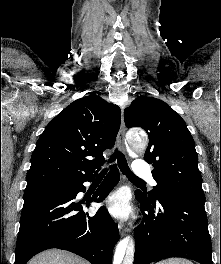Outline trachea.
Returning <instances> with one entry per match:
<instances>
[{
	"instance_id": "obj_1",
	"label": "trachea",
	"mask_w": 221,
	"mask_h": 264,
	"mask_svg": "<svg viewBox=\"0 0 221 264\" xmlns=\"http://www.w3.org/2000/svg\"><path fill=\"white\" fill-rule=\"evenodd\" d=\"M117 159L118 162V166L120 168V170L122 171V173L124 175H126V177L129 180L135 181V182H139V183H145L142 179L138 178L137 176H135L133 174V172L130 170L128 164H127V160L124 156V154L120 151H118L117 149L115 150V152L111 155L110 157V161H114ZM107 173V169H104L101 171L100 175H104Z\"/></svg>"
}]
</instances>
